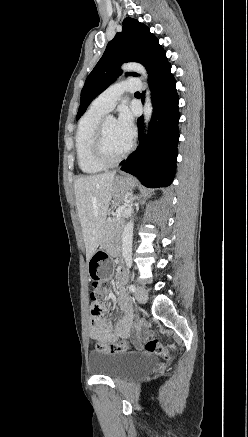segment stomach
Returning a JSON list of instances; mask_svg holds the SVG:
<instances>
[{
    "mask_svg": "<svg viewBox=\"0 0 248 437\" xmlns=\"http://www.w3.org/2000/svg\"><path fill=\"white\" fill-rule=\"evenodd\" d=\"M114 192L115 199H122L124 195L134 186V181L130 176H116L114 179ZM114 262H111V256L105 252V250H96L89 260V276L90 279H98L100 286L107 284L110 271H114Z\"/></svg>",
    "mask_w": 248,
    "mask_h": 437,
    "instance_id": "stomach-1",
    "label": "stomach"
}]
</instances>
